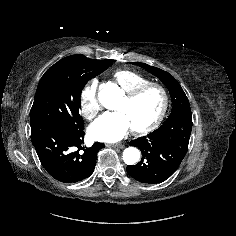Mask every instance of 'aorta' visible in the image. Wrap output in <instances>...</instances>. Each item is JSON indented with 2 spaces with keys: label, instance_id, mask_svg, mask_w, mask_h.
<instances>
[{
  "label": "aorta",
  "instance_id": "762f6f07",
  "mask_svg": "<svg viewBox=\"0 0 236 236\" xmlns=\"http://www.w3.org/2000/svg\"><path fill=\"white\" fill-rule=\"evenodd\" d=\"M99 100L101 104L106 108H111L112 103L121 97V89L113 84L109 87H105L99 92ZM140 151L135 147L126 148L123 152V161L127 165H134L140 159Z\"/></svg>",
  "mask_w": 236,
  "mask_h": 236
}]
</instances>
